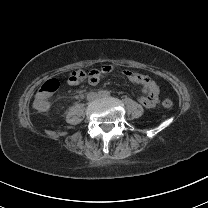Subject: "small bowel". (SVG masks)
<instances>
[{
  "instance_id": "1",
  "label": "small bowel",
  "mask_w": 208,
  "mask_h": 208,
  "mask_svg": "<svg viewBox=\"0 0 208 208\" xmlns=\"http://www.w3.org/2000/svg\"><path fill=\"white\" fill-rule=\"evenodd\" d=\"M113 69V65L109 63L100 70L96 71L93 69L89 71L87 74L89 77V83L92 85L96 84L102 76L112 72ZM123 75L143 87L144 94L139 97V102L143 106L151 108L156 104L158 99V88L154 81L148 75L131 70H124ZM46 102L47 99H44L42 101V104L38 106V109L43 110V105H45Z\"/></svg>"
}]
</instances>
